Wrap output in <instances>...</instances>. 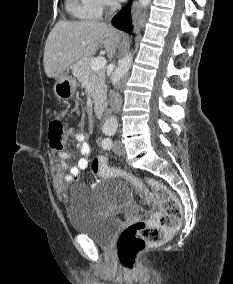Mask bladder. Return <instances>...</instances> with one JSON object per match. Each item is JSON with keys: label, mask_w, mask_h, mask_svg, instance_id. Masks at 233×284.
<instances>
[{"label": "bladder", "mask_w": 233, "mask_h": 284, "mask_svg": "<svg viewBox=\"0 0 233 284\" xmlns=\"http://www.w3.org/2000/svg\"><path fill=\"white\" fill-rule=\"evenodd\" d=\"M130 187L121 180L105 184L99 197L83 185H75L70 191L67 217L72 229L90 237L102 246H108L121 226L119 219L101 212L100 205L125 204L131 198Z\"/></svg>", "instance_id": "1"}]
</instances>
